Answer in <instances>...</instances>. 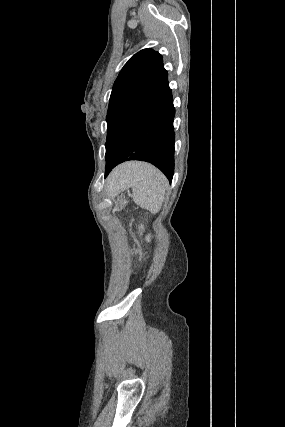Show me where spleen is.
Segmentation results:
<instances>
[{"label":"spleen","mask_w":285,"mask_h":427,"mask_svg":"<svg viewBox=\"0 0 285 427\" xmlns=\"http://www.w3.org/2000/svg\"><path fill=\"white\" fill-rule=\"evenodd\" d=\"M128 188H132L133 200L137 205L155 214L160 211L165 199L168 180L151 164L133 162L113 177L110 185L113 192Z\"/></svg>","instance_id":"spleen-1"}]
</instances>
